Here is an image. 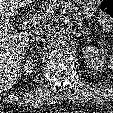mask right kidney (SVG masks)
<instances>
[{"instance_id":"1","label":"right kidney","mask_w":113,"mask_h":113,"mask_svg":"<svg viewBox=\"0 0 113 113\" xmlns=\"http://www.w3.org/2000/svg\"><path fill=\"white\" fill-rule=\"evenodd\" d=\"M35 57H37V55L34 56V57H33V55H32V57H30V60H27V61H26L25 65H24V67H23V69H24V71H25V74H31V73H32L34 67L36 66Z\"/></svg>"}]
</instances>
